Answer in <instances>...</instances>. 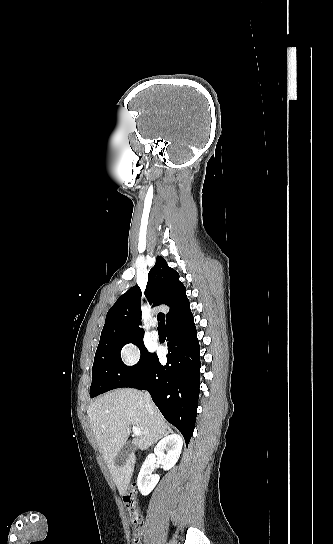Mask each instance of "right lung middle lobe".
Segmentation results:
<instances>
[{"label":"right lung middle lobe","mask_w":333,"mask_h":544,"mask_svg":"<svg viewBox=\"0 0 333 544\" xmlns=\"http://www.w3.org/2000/svg\"><path fill=\"white\" fill-rule=\"evenodd\" d=\"M142 339L143 336H118L100 340L92 368L91 397L115 388L128 387L141 379L152 356ZM128 343L137 345L141 352L140 360L134 366H126L121 360L120 351Z\"/></svg>","instance_id":"right-lung-middle-lobe-1"}]
</instances>
